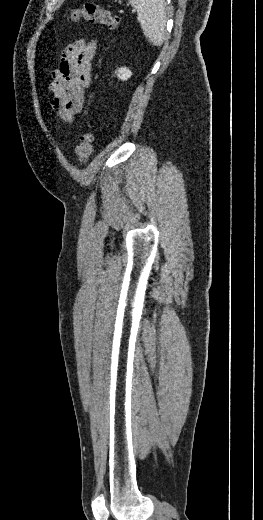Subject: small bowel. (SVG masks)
<instances>
[{
	"label": "small bowel",
	"mask_w": 263,
	"mask_h": 520,
	"mask_svg": "<svg viewBox=\"0 0 263 520\" xmlns=\"http://www.w3.org/2000/svg\"><path fill=\"white\" fill-rule=\"evenodd\" d=\"M96 54L95 41L79 40L63 53L59 66L52 71L49 91L52 108L65 122L73 121L85 102V89L91 84L92 60Z\"/></svg>",
	"instance_id": "obj_1"
}]
</instances>
